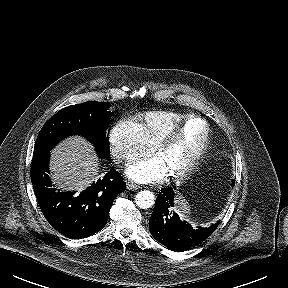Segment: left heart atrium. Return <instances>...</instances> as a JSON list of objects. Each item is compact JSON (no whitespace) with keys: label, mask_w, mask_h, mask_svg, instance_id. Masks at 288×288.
<instances>
[{"label":"left heart atrium","mask_w":288,"mask_h":288,"mask_svg":"<svg viewBox=\"0 0 288 288\" xmlns=\"http://www.w3.org/2000/svg\"><path fill=\"white\" fill-rule=\"evenodd\" d=\"M127 175L139 183H151L162 180L168 175V170L159 156L139 161L127 168Z\"/></svg>","instance_id":"left-heart-atrium-1"}]
</instances>
